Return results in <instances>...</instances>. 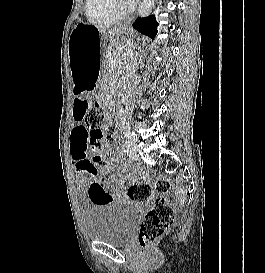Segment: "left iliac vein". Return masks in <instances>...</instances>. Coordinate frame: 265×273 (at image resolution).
I'll list each match as a JSON object with an SVG mask.
<instances>
[{
	"instance_id": "1",
	"label": "left iliac vein",
	"mask_w": 265,
	"mask_h": 273,
	"mask_svg": "<svg viewBox=\"0 0 265 273\" xmlns=\"http://www.w3.org/2000/svg\"><path fill=\"white\" fill-rule=\"evenodd\" d=\"M126 146H127V152L130 159L132 160L138 159L136 140H128L126 142Z\"/></svg>"
}]
</instances>
